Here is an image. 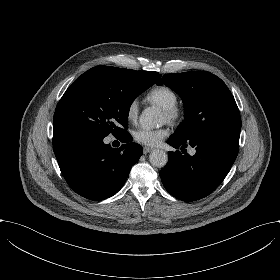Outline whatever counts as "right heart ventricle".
Instances as JSON below:
<instances>
[{
	"label": "right heart ventricle",
	"mask_w": 280,
	"mask_h": 280,
	"mask_svg": "<svg viewBox=\"0 0 280 280\" xmlns=\"http://www.w3.org/2000/svg\"><path fill=\"white\" fill-rule=\"evenodd\" d=\"M148 102L162 108L176 106L179 102L177 93L166 85H155L145 95Z\"/></svg>",
	"instance_id": "e07e8e85"
}]
</instances>
